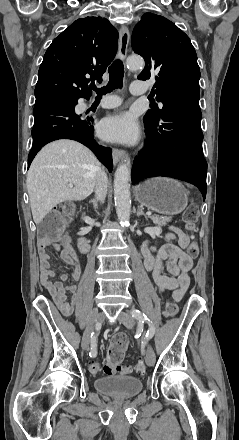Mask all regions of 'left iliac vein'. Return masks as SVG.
I'll return each mask as SVG.
<instances>
[{"mask_svg": "<svg viewBox=\"0 0 239 440\" xmlns=\"http://www.w3.org/2000/svg\"><path fill=\"white\" fill-rule=\"evenodd\" d=\"M119 320L127 328H132L135 324L134 318L129 313L126 312H121L119 314ZM145 360L148 366H153L155 364L156 355L150 344L147 345V353Z\"/></svg>", "mask_w": 239, "mask_h": 440, "instance_id": "obj_1", "label": "left iliac vein"}]
</instances>
